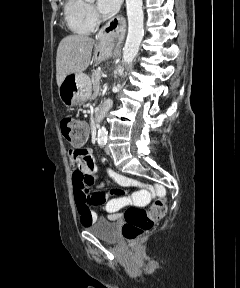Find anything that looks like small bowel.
Returning <instances> with one entry per match:
<instances>
[{"label":"small bowel","mask_w":240,"mask_h":288,"mask_svg":"<svg viewBox=\"0 0 240 288\" xmlns=\"http://www.w3.org/2000/svg\"><path fill=\"white\" fill-rule=\"evenodd\" d=\"M86 140L72 143L73 148L69 151V160L74 166L72 182L74 198L83 226H88L97 219L96 213L90 206L103 205V210L110 220L120 217L119 211L131 202V198L123 196L121 189H113L110 198L106 201L103 192L104 183L98 179L97 167L93 161V150L85 147ZM109 177L120 185L129 187L136 184L135 181L125 178L114 171L107 169ZM95 189L91 191V186Z\"/></svg>","instance_id":"1"}]
</instances>
